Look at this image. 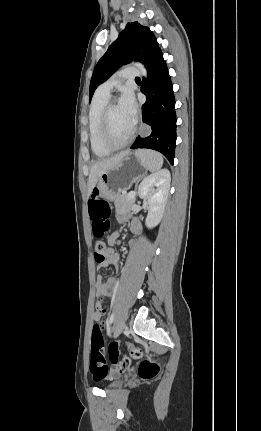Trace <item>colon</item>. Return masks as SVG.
<instances>
[{
	"label": "colon",
	"mask_w": 261,
	"mask_h": 431,
	"mask_svg": "<svg viewBox=\"0 0 261 431\" xmlns=\"http://www.w3.org/2000/svg\"><path fill=\"white\" fill-rule=\"evenodd\" d=\"M89 214L92 219L93 234L97 238L94 245V256L97 263L103 262L113 251L110 246L102 239L109 231L111 222L109 220L110 209L106 202L93 196L89 201ZM130 357L140 359L142 351L132 343L129 347ZM108 360L106 363L104 355V343L102 337V327L96 323L92 330L91 344V361L90 371L91 378L95 383H104L109 379H120L121 373L128 372L131 359L122 356L119 350V344L111 342L108 345ZM159 372V365L151 360H143L139 365V374L144 379H151Z\"/></svg>",
	"instance_id": "1"
}]
</instances>
